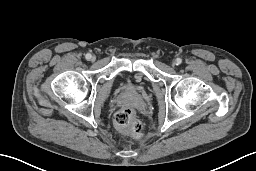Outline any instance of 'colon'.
Returning <instances> with one entry per match:
<instances>
[{"label": "colon", "mask_w": 256, "mask_h": 171, "mask_svg": "<svg viewBox=\"0 0 256 171\" xmlns=\"http://www.w3.org/2000/svg\"><path fill=\"white\" fill-rule=\"evenodd\" d=\"M115 125L122 131L131 134L134 138H140L144 134V126L131 108H123L114 116Z\"/></svg>", "instance_id": "5ec220e1"}]
</instances>
